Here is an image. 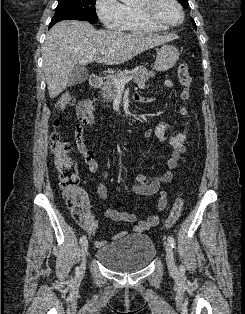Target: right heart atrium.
Instances as JSON below:
<instances>
[{
    "mask_svg": "<svg viewBox=\"0 0 245 314\" xmlns=\"http://www.w3.org/2000/svg\"><path fill=\"white\" fill-rule=\"evenodd\" d=\"M95 10L104 27L111 30H120L122 4L118 0H96Z\"/></svg>",
    "mask_w": 245,
    "mask_h": 314,
    "instance_id": "d8ad5b80",
    "label": "right heart atrium"
}]
</instances>
